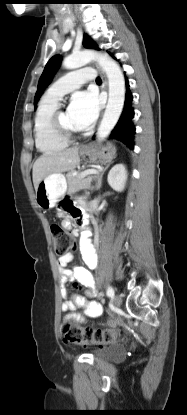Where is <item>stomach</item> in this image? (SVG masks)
<instances>
[{
	"mask_svg": "<svg viewBox=\"0 0 187 415\" xmlns=\"http://www.w3.org/2000/svg\"><path fill=\"white\" fill-rule=\"evenodd\" d=\"M83 157L100 164L110 163L116 156V147L107 143L98 149L86 148L81 151ZM67 190L66 178L62 173H53L41 180L36 190V202L42 210H50L56 206Z\"/></svg>",
	"mask_w": 187,
	"mask_h": 415,
	"instance_id": "0dacf381",
	"label": "stomach"
}]
</instances>
